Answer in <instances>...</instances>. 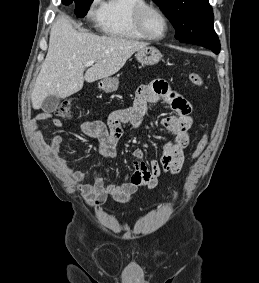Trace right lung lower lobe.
<instances>
[{"label": "right lung lower lobe", "instance_id": "right-lung-lower-lobe-1", "mask_svg": "<svg viewBox=\"0 0 259 283\" xmlns=\"http://www.w3.org/2000/svg\"><path fill=\"white\" fill-rule=\"evenodd\" d=\"M62 2H63V4H66V5H68V4H70V3H72V1H71V0H62Z\"/></svg>", "mask_w": 259, "mask_h": 283}]
</instances>
